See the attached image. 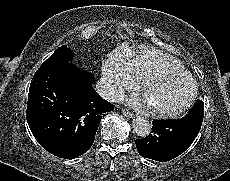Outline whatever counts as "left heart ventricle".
<instances>
[{"label": "left heart ventricle", "instance_id": "1", "mask_svg": "<svg viewBox=\"0 0 230 181\" xmlns=\"http://www.w3.org/2000/svg\"><path fill=\"white\" fill-rule=\"evenodd\" d=\"M191 89V84L185 79L163 78L147 89L146 101L154 108H176L185 102Z\"/></svg>", "mask_w": 230, "mask_h": 181}]
</instances>
